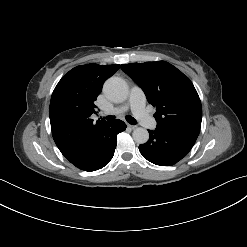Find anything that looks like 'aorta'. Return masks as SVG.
Masks as SVG:
<instances>
[{
    "mask_svg": "<svg viewBox=\"0 0 247 247\" xmlns=\"http://www.w3.org/2000/svg\"><path fill=\"white\" fill-rule=\"evenodd\" d=\"M103 93L108 100L122 103L128 97V85L123 79L112 77L104 83ZM132 137L136 143L144 144L149 139V133L145 128L138 127L134 129Z\"/></svg>",
    "mask_w": 247,
    "mask_h": 247,
    "instance_id": "obj_1",
    "label": "aorta"
}]
</instances>
